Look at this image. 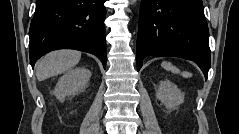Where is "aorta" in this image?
<instances>
[{"label":"aorta","mask_w":239,"mask_h":134,"mask_svg":"<svg viewBox=\"0 0 239 134\" xmlns=\"http://www.w3.org/2000/svg\"><path fill=\"white\" fill-rule=\"evenodd\" d=\"M131 2H132V4H134L136 2V0H132Z\"/></svg>","instance_id":"762f6f07"}]
</instances>
